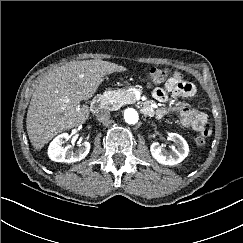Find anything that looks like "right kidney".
<instances>
[{
  "mask_svg": "<svg viewBox=\"0 0 243 243\" xmlns=\"http://www.w3.org/2000/svg\"><path fill=\"white\" fill-rule=\"evenodd\" d=\"M70 135L62 133L55 137L48 147V156L55 162L73 163L84 159L90 151V143L85 141L75 151L71 145L62 147L64 141H68Z\"/></svg>",
  "mask_w": 243,
  "mask_h": 243,
  "instance_id": "obj_1",
  "label": "right kidney"
}]
</instances>
